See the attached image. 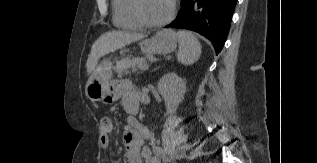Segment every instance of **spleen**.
<instances>
[{"label":"spleen","mask_w":317,"mask_h":163,"mask_svg":"<svg viewBox=\"0 0 317 163\" xmlns=\"http://www.w3.org/2000/svg\"><path fill=\"white\" fill-rule=\"evenodd\" d=\"M177 38L179 42L178 61L183 65H192L200 58L202 52L198 38L188 31H178Z\"/></svg>","instance_id":"spleen-1"}]
</instances>
